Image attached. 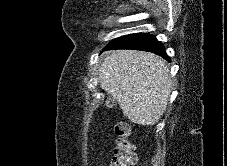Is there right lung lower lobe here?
<instances>
[{"instance_id": "right-lung-lower-lobe-1", "label": "right lung lower lobe", "mask_w": 227, "mask_h": 166, "mask_svg": "<svg viewBox=\"0 0 227 166\" xmlns=\"http://www.w3.org/2000/svg\"><path fill=\"white\" fill-rule=\"evenodd\" d=\"M115 49H133L155 53L162 56L166 60H170L164 51L163 45L155 36L151 34L136 33L120 38L119 40L109 44L105 50Z\"/></svg>"}]
</instances>
